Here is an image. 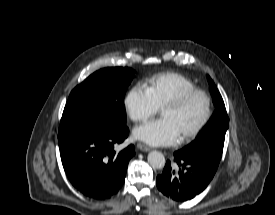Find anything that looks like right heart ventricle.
I'll list each match as a JSON object with an SVG mask.
<instances>
[{
	"instance_id": "1",
	"label": "right heart ventricle",
	"mask_w": 275,
	"mask_h": 215,
	"mask_svg": "<svg viewBox=\"0 0 275 215\" xmlns=\"http://www.w3.org/2000/svg\"><path fill=\"white\" fill-rule=\"evenodd\" d=\"M145 88L158 108L179 93L195 88L194 82L176 72H164L150 77Z\"/></svg>"
}]
</instances>
